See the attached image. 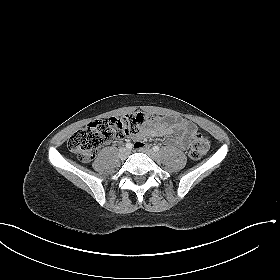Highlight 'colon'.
Listing matches in <instances>:
<instances>
[{
    "label": "colon",
    "instance_id": "colon-1",
    "mask_svg": "<svg viewBox=\"0 0 280 280\" xmlns=\"http://www.w3.org/2000/svg\"><path fill=\"white\" fill-rule=\"evenodd\" d=\"M153 117L145 113H134L122 118L96 120L75 132L68 141V149L83 162L92 161L99 148L113 140H121L136 134L140 128L151 122ZM209 149V140L202 133L191 138L189 156L200 159Z\"/></svg>",
    "mask_w": 280,
    "mask_h": 280
}]
</instances>
